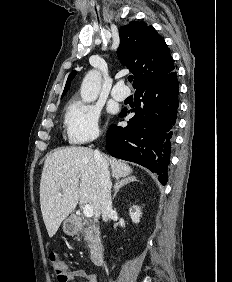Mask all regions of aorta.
Wrapping results in <instances>:
<instances>
[{
    "instance_id": "aorta-1",
    "label": "aorta",
    "mask_w": 232,
    "mask_h": 282,
    "mask_svg": "<svg viewBox=\"0 0 232 282\" xmlns=\"http://www.w3.org/2000/svg\"><path fill=\"white\" fill-rule=\"evenodd\" d=\"M101 74L97 70H90L84 77L80 95L82 101L89 103L95 101L101 89Z\"/></svg>"
}]
</instances>
